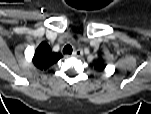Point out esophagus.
Returning <instances> with one entry per match:
<instances>
[{"instance_id": "esophagus-1", "label": "esophagus", "mask_w": 151, "mask_h": 114, "mask_svg": "<svg viewBox=\"0 0 151 114\" xmlns=\"http://www.w3.org/2000/svg\"><path fill=\"white\" fill-rule=\"evenodd\" d=\"M74 57L80 58L83 56V51L81 49H77L72 54Z\"/></svg>"}]
</instances>
